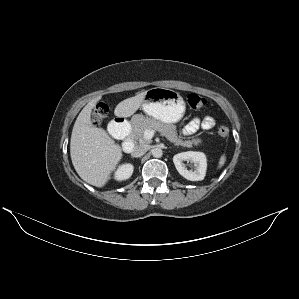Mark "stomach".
<instances>
[{
	"label": "stomach",
	"mask_w": 299,
	"mask_h": 299,
	"mask_svg": "<svg viewBox=\"0 0 299 299\" xmlns=\"http://www.w3.org/2000/svg\"><path fill=\"white\" fill-rule=\"evenodd\" d=\"M142 109L153 119L165 123H175L184 115L185 102L179 92L156 87L146 91Z\"/></svg>",
	"instance_id": "stomach-1"
}]
</instances>
